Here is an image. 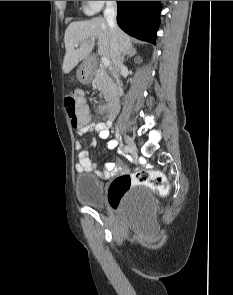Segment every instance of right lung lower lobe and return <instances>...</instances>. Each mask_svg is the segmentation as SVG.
I'll return each instance as SVG.
<instances>
[{
	"label": "right lung lower lobe",
	"mask_w": 233,
	"mask_h": 295,
	"mask_svg": "<svg viewBox=\"0 0 233 295\" xmlns=\"http://www.w3.org/2000/svg\"><path fill=\"white\" fill-rule=\"evenodd\" d=\"M160 1H117V23L129 35L155 44Z\"/></svg>",
	"instance_id": "obj_1"
}]
</instances>
